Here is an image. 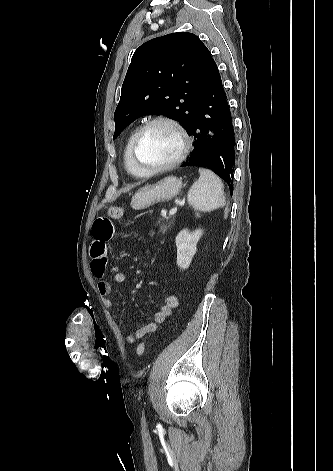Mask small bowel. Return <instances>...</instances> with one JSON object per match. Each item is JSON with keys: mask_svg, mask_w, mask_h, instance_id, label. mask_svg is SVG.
Masks as SVG:
<instances>
[{"mask_svg": "<svg viewBox=\"0 0 333 471\" xmlns=\"http://www.w3.org/2000/svg\"><path fill=\"white\" fill-rule=\"evenodd\" d=\"M114 225L109 217L100 216L95 219L92 226L93 242L90 246L91 270L96 278L99 279L97 284L102 302L105 306H112L113 288L110 282L104 279L107 270V243L114 236ZM113 281L117 284L125 281V275L122 272H115ZM179 302L176 295L168 293L164 297L161 308L154 315V320L139 327L133 334H128L126 340L134 343L142 339L147 334L156 331L159 324L163 323L170 317L177 308Z\"/></svg>", "mask_w": 333, "mask_h": 471, "instance_id": "small-bowel-1", "label": "small bowel"}]
</instances>
